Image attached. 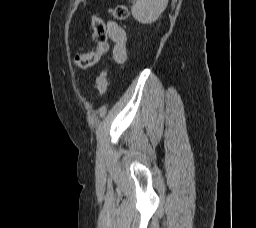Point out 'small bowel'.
<instances>
[{
  "label": "small bowel",
  "instance_id": "obj_1",
  "mask_svg": "<svg viewBox=\"0 0 256 228\" xmlns=\"http://www.w3.org/2000/svg\"><path fill=\"white\" fill-rule=\"evenodd\" d=\"M107 34L109 40L113 43L111 54L113 60L117 64H123L127 58L126 41L127 34L125 30L119 26L115 21L108 20ZM101 50L107 52L109 50L108 44H102Z\"/></svg>",
  "mask_w": 256,
  "mask_h": 228
}]
</instances>
